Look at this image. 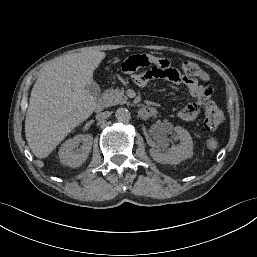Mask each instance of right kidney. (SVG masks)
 <instances>
[{
  "label": "right kidney",
  "instance_id": "ca27d5eb",
  "mask_svg": "<svg viewBox=\"0 0 257 257\" xmlns=\"http://www.w3.org/2000/svg\"><path fill=\"white\" fill-rule=\"evenodd\" d=\"M92 142L93 137L90 134L77 135L67 140L59 149L61 162L69 167L81 166L91 152Z\"/></svg>",
  "mask_w": 257,
  "mask_h": 257
}]
</instances>
